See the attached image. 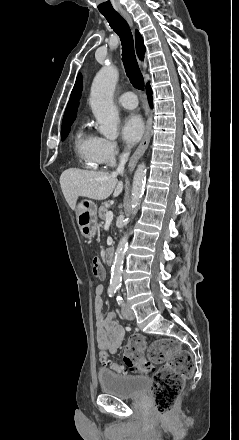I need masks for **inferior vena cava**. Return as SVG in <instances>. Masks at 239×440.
I'll list each match as a JSON object with an SVG mask.
<instances>
[{"instance_id":"602c4592","label":"inferior vena cava","mask_w":239,"mask_h":440,"mask_svg":"<svg viewBox=\"0 0 239 440\" xmlns=\"http://www.w3.org/2000/svg\"><path fill=\"white\" fill-rule=\"evenodd\" d=\"M130 150H131L130 146H127V148H125V152H123V154H121L119 166H118V168H116V172H114V174H116V176H117V174H123L124 166H125L126 162H128Z\"/></svg>"}]
</instances>
